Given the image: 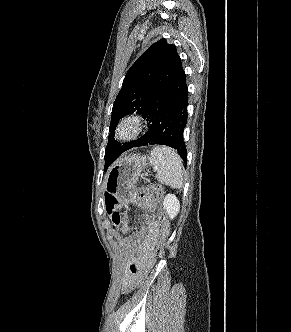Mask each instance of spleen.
<instances>
[{
	"label": "spleen",
	"instance_id": "spleen-1",
	"mask_svg": "<svg viewBox=\"0 0 291 332\" xmlns=\"http://www.w3.org/2000/svg\"><path fill=\"white\" fill-rule=\"evenodd\" d=\"M150 163L157 172L161 184L173 188L183 186V163L179 154L172 148L158 146L151 152Z\"/></svg>",
	"mask_w": 291,
	"mask_h": 332
}]
</instances>
